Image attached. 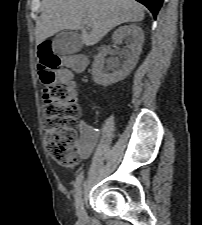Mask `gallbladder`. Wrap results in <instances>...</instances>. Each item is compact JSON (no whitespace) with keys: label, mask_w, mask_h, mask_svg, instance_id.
I'll list each match as a JSON object with an SVG mask.
<instances>
[{"label":"gallbladder","mask_w":202,"mask_h":225,"mask_svg":"<svg viewBox=\"0 0 202 225\" xmlns=\"http://www.w3.org/2000/svg\"><path fill=\"white\" fill-rule=\"evenodd\" d=\"M81 36L74 31H62L52 41V50L55 54L64 56L75 54L82 48Z\"/></svg>","instance_id":"bac80fb5"}]
</instances>
